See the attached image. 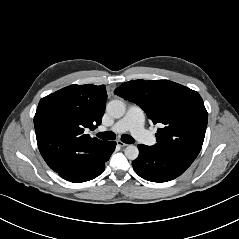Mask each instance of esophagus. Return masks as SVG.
Masks as SVG:
<instances>
[{
    "label": "esophagus",
    "instance_id": "esophagus-1",
    "mask_svg": "<svg viewBox=\"0 0 239 239\" xmlns=\"http://www.w3.org/2000/svg\"><path fill=\"white\" fill-rule=\"evenodd\" d=\"M117 145L120 146V147H126L128 146V144L122 142V141H117Z\"/></svg>",
    "mask_w": 239,
    "mask_h": 239
}]
</instances>
